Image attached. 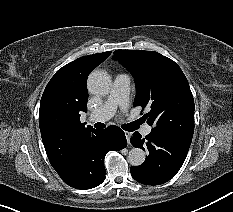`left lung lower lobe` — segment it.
<instances>
[{"label":"left lung lower lobe","instance_id":"obj_1","mask_svg":"<svg viewBox=\"0 0 233 212\" xmlns=\"http://www.w3.org/2000/svg\"><path fill=\"white\" fill-rule=\"evenodd\" d=\"M192 139L154 133L145 138L134 132L131 143L134 147L148 151V156L140 166H132V177L146 185H159L173 178L187 156Z\"/></svg>","mask_w":233,"mask_h":212}]
</instances>
